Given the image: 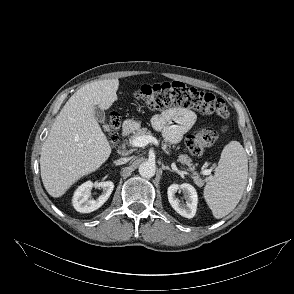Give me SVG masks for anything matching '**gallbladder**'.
Returning a JSON list of instances; mask_svg holds the SVG:
<instances>
[{"label": "gallbladder", "instance_id": "obj_1", "mask_svg": "<svg viewBox=\"0 0 294 294\" xmlns=\"http://www.w3.org/2000/svg\"><path fill=\"white\" fill-rule=\"evenodd\" d=\"M95 118L100 123H104V121L106 119L105 112L97 106L95 107Z\"/></svg>", "mask_w": 294, "mask_h": 294}]
</instances>
